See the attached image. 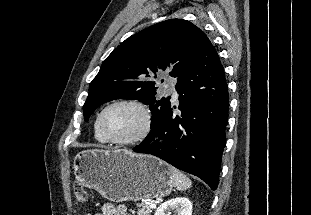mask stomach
<instances>
[{"instance_id": "1", "label": "stomach", "mask_w": 311, "mask_h": 215, "mask_svg": "<svg viewBox=\"0 0 311 215\" xmlns=\"http://www.w3.org/2000/svg\"><path fill=\"white\" fill-rule=\"evenodd\" d=\"M76 180L110 201L161 199L171 193L169 165L162 160L124 149H91L73 160Z\"/></svg>"}]
</instances>
